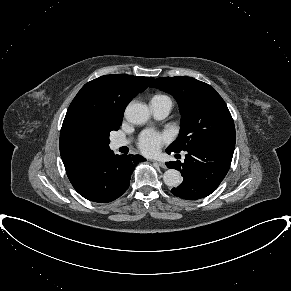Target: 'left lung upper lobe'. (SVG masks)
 I'll list each match as a JSON object with an SVG mask.
<instances>
[{
	"instance_id": "5c2ea615",
	"label": "left lung upper lobe",
	"mask_w": 291,
	"mask_h": 291,
	"mask_svg": "<svg viewBox=\"0 0 291 291\" xmlns=\"http://www.w3.org/2000/svg\"><path fill=\"white\" fill-rule=\"evenodd\" d=\"M151 87L170 93L179 104L180 133L167 150L180 152L201 145L235 144L232 116L224 100L210 85L179 76L157 78Z\"/></svg>"
}]
</instances>
